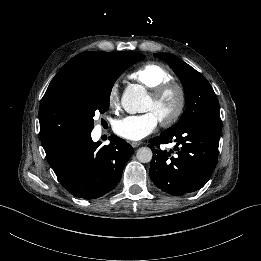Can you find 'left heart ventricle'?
<instances>
[{
    "label": "left heart ventricle",
    "instance_id": "b2bd125f",
    "mask_svg": "<svg viewBox=\"0 0 261 261\" xmlns=\"http://www.w3.org/2000/svg\"><path fill=\"white\" fill-rule=\"evenodd\" d=\"M177 104V97L174 94L166 96L158 104H153L150 98L147 100L144 111H152L158 117H166L170 115Z\"/></svg>",
    "mask_w": 261,
    "mask_h": 261
}]
</instances>
